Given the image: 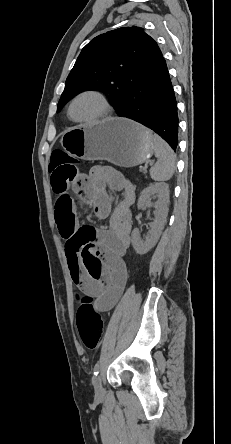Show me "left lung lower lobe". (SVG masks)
Listing matches in <instances>:
<instances>
[{
	"label": "left lung lower lobe",
	"mask_w": 231,
	"mask_h": 444,
	"mask_svg": "<svg viewBox=\"0 0 231 444\" xmlns=\"http://www.w3.org/2000/svg\"><path fill=\"white\" fill-rule=\"evenodd\" d=\"M159 134L173 150L178 145L177 103L162 52L144 67L130 92L126 105L118 112Z\"/></svg>",
	"instance_id": "0a47b994"
}]
</instances>
